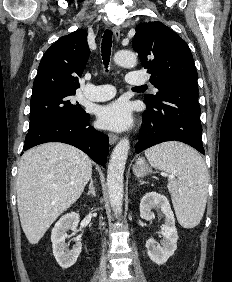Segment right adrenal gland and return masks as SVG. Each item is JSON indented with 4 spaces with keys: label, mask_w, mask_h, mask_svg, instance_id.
Returning <instances> with one entry per match:
<instances>
[{
    "label": "right adrenal gland",
    "mask_w": 232,
    "mask_h": 282,
    "mask_svg": "<svg viewBox=\"0 0 232 282\" xmlns=\"http://www.w3.org/2000/svg\"><path fill=\"white\" fill-rule=\"evenodd\" d=\"M87 195H91L92 197L96 196V189L92 178L90 179L89 190L87 192Z\"/></svg>",
    "instance_id": "obj_1"
}]
</instances>
